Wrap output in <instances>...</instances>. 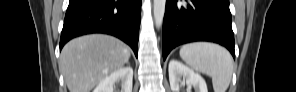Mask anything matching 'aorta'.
I'll return each mask as SVG.
<instances>
[{
	"mask_svg": "<svg viewBox=\"0 0 296 92\" xmlns=\"http://www.w3.org/2000/svg\"><path fill=\"white\" fill-rule=\"evenodd\" d=\"M166 0H153V15L156 27L159 29L162 26L165 14Z\"/></svg>",
	"mask_w": 296,
	"mask_h": 92,
	"instance_id": "aorta-1",
	"label": "aorta"
}]
</instances>
